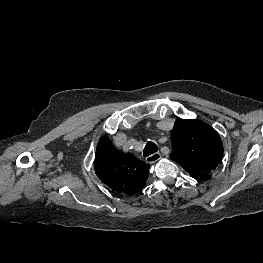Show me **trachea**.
I'll use <instances>...</instances> for the list:
<instances>
[{"mask_svg":"<svg viewBox=\"0 0 263 263\" xmlns=\"http://www.w3.org/2000/svg\"><path fill=\"white\" fill-rule=\"evenodd\" d=\"M157 151H158L157 145L154 142L149 141L145 145L143 155L144 157H147Z\"/></svg>","mask_w":263,"mask_h":263,"instance_id":"trachea-1","label":"trachea"}]
</instances>
